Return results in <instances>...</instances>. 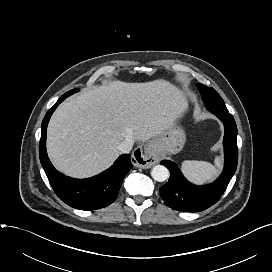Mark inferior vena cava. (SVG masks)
I'll return each instance as SVG.
<instances>
[{
  "label": "inferior vena cava",
  "mask_w": 272,
  "mask_h": 272,
  "mask_svg": "<svg viewBox=\"0 0 272 272\" xmlns=\"http://www.w3.org/2000/svg\"><path fill=\"white\" fill-rule=\"evenodd\" d=\"M133 147V141L131 139L124 140L117 149L120 153H129Z\"/></svg>",
  "instance_id": "obj_1"
}]
</instances>
